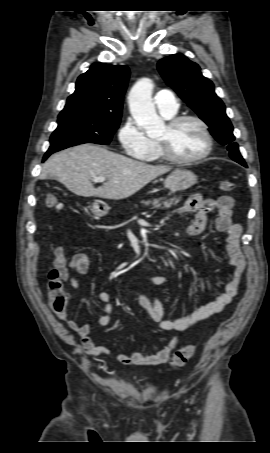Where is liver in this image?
I'll list each match as a JSON object with an SVG mask.
<instances>
[{"label": "liver", "instance_id": "obj_1", "mask_svg": "<svg viewBox=\"0 0 270 453\" xmlns=\"http://www.w3.org/2000/svg\"><path fill=\"white\" fill-rule=\"evenodd\" d=\"M170 170L169 166L149 165L97 145L82 144L53 154L43 165L40 179L57 177L78 196L120 200ZM99 176L108 181L95 188L91 181Z\"/></svg>", "mask_w": 270, "mask_h": 453}]
</instances>
